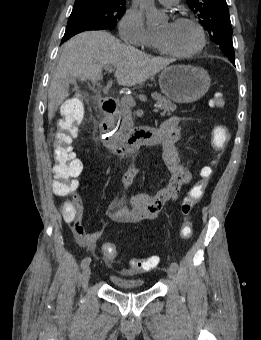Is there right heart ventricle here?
Segmentation results:
<instances>
[{"label": "right heart ventricle", "mask_w": 261, "mask_h": 340, "mask_svg": "<svg viewBox=\"0 0 261 340\" xmlns=\"http://www.w3.org/2000/svg\"><path fill=\"white\" fill-rule=\"evenodd\" d=\"M146 47L149 48V49H152V50H158L155 39H153V41L150 42Z\"/></svg>", "instance_id": "e07e8e85"}]
</instances>
